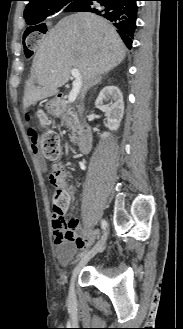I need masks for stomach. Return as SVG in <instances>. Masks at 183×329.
I'll list each match as a JSON object with an SVG mask.
<instances>
[{"mask_svg": "<svg viewBox=\"0 0 183 329\" xmlns=\"http://www.w3.org/2000/svg\"><path fill=\"white\" fill-rule=\"evenodd\" d=\"M46 110L50 114H57L60 111V103L58 99H53L49 101L46 106Z\"/></svg>", "mask_w": 183, "mask_h": 329, "instance_id": "0dacf381", "label": "stomach"}]
</instances>
